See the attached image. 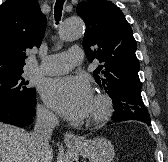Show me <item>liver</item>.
Wrapping results in <instances>:
<instances>
[{
	"mask_svg": "<svg viewBox=\"0 0 168 162\" xmlns=\"http://www.w3.org/2000/svg\"><path fill=\"white\" fill-rule=\"evenodd\" d=\"M30 134L24 129L0 122V162H28ZM52 148L44 162H52Z\"/></svg>",
	"mask_w": 168,
	"mask_h": 162,
	"instance_id": "6515ba94",
	"label": "liver"
}]
</instances>
